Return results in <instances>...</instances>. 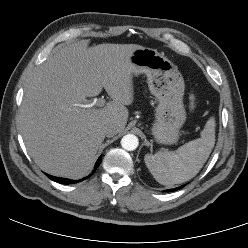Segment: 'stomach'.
I'll return each instance as SVG.
<instances>
[{
  "label": "stomach",
  "mask_w": 248,
  "mask_h": 248,
  "mask_svg": "<svg viewBox=\"0 0 248 248\" xmlns=\"http://www.w3.org/2000/svg\"><path fill=\"white\" fill-rule=\"evenodd\" d=\"M130 63L134 74L147 76L149 90L159 101L152 127L155 140L161 144L176 143L186 120L185 85L177 66L156 49L145 47L133 52Z\"/></svg>",
  "instance_id": "stomach-1"
}]
</instances>
